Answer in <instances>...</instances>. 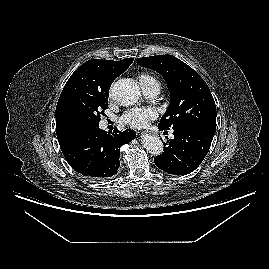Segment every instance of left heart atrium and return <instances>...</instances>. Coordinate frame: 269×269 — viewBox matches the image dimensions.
<instances>
[{
    "instance_id": "obj_1",
    "label": "left heart atrium",
    "mask_w": 269,
    "mask_h": 269,
    "mask_svg": "<svg viewBox=\"0 0 269 269\" xmlns=\"http://www.w3.org/2000/svg\"><path fill=\"white\" fill-rule=\"evenodd\" d=\"M156 111L152 108H134L126 111L121 121L134 128L144 127L149 120L156 117Z\"/></svg>"
}]
</instances>
